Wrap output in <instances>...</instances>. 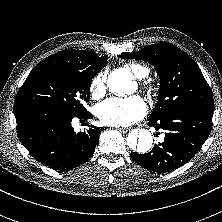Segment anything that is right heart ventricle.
Listing matches in <instances>:
<instances>
[{
	"label": "right heart ventricle",
	"instance_id": "obj_1",
	"mask_svg": "<svg viewBox=\"0 0 222 222\" xmlns=\"http://www.w3.org/2000/svg\"><path fill=\"white\" fill-rule=\"evenodd\" d=\"M128 68L133 72V74L137 78H140V79L146 77L149 73V69L145 65L137 63V62L129 63Z\"/></svg>",
	"mask_w": 222,
	"mask_h": 222
}]
</instances>
